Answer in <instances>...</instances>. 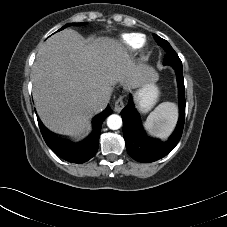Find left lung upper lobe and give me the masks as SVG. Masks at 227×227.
<instances>
[{"instance_id":"obj_1","label":"left lung upper lobe","mask_w":227,"mask_h":227,"mask_svg":"<svg viewBox=\"0 0 227 227\" xmlns=\"http://www.w3.org/2000/svg\"><path fill=\"white\" fill-rule=\"evenodd\" d=\"M156 42L165 50L166 56L164 59V64L171 65L175 69H182V62L178 57L177 53L171 47V45L161 37L156 34H153Z\"/></svg>"}]
</instances>
